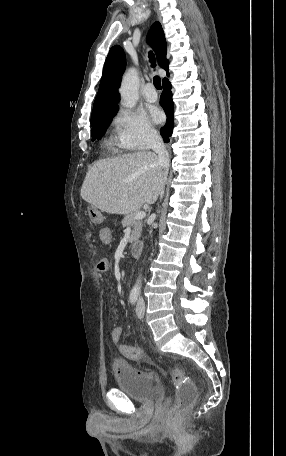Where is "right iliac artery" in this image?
<instances>
[{
	"label": "right iliac artery",
	"instance_id": "right-iliac-artery-1",
	"mask_svg": "<svg viewBox=\"0 0 286 456\" xmlns=\"http://www.w3.org/2000/svg\"><path fill=\"white\" fill-rule=\"evenodd\" d=\"M138 297H139V291H138V290H135V289H134V290H132V291L130 292V297H129V299H130V302H131L132 304H135V303L137 302Z\"/></svg>",
	"mask_w": 286,
	"mask_h": 456
}]
</instances>
